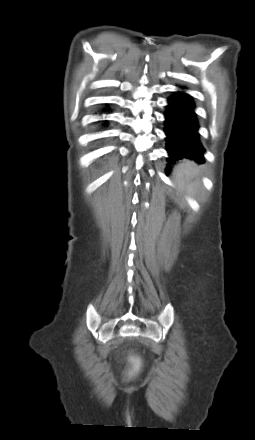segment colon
I'll list each match as a JSON object with an SVG mask.
<instances>
[{
    "label": "colon",
    "mask_w": 255,
    "mask_h": 440,
    "mask_svg": "<svg viewBox=\"0 0 255 440\" xmlns=\"http://www.w3.org/2000/svg\"><path fill=\"white\" fill-rule=\"evenodd\" d=\"M139 364L136 362L134 369H138Z\"/></svg>",
    "instance_id": "obj_1"
}]
</instances>
